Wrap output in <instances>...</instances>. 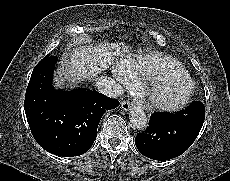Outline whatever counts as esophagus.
Listing matches in <instances>:
<instances>
[{
    "mask_svg": "<svg viewBox=\"0 0 230 181\" xmlns=\"http://www.w3.org/2000/svg\"><path fill=\"white\" fill-rule=\"evenodd\" d=\"M131 102L129 100H123L121 102V108L124 110V111H129V109L131 108Z\"/></svg>",
    "mask_w": 230,
    "mask_h": 181,
    "instance_id": "1",
    "label": "esophagus"
}]
</instances>
